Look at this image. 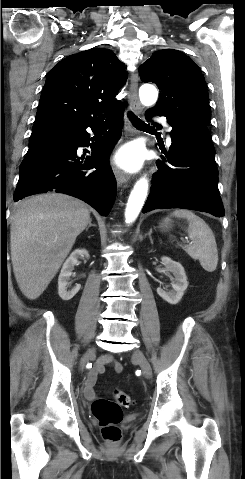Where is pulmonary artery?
<instances>
[{
  "instance_id": "pulmonary-artery-1",
  "label": "pulmonary artery",
  "mask_w": 245,
  "mask_h": 479,
  "mask_svg": "<svg viewBox=\"0 0 245 479\" xmlns=\"http://www.w3.org/2000/svg\"><path fill=\"white\" fill-rule=\"evenodd\" d=\"M164 125L167 126V124L164 122ZM168 142L170 143V138L168 139Z\"/></svg>"
}]
</instances>
